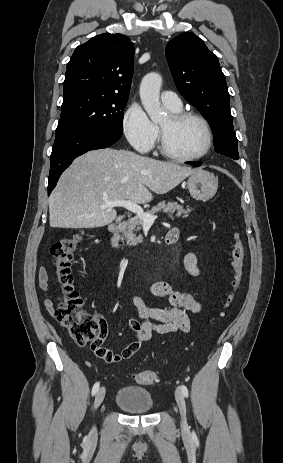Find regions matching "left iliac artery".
Here are the masks:
<instances>
[{"instance_id": "left-iliac-artery-1", "label": "left iliac artery", "mask_w": 283, "mask_h": 463, "mask_svg": "<svg viewBox=\"0 0 283 463\" xmlns=\"http://www.w3.org/2000/svg\"><path fill=\"white\" fill-rule=\"evenodd\" d=\"M180 389H181L182 393L184 394V396H185V397H188L189 392H188L187 387H186L185 385H181V386H180ZM193 436H195V433H194V432H193Z\"/></svg>"}]
</instances>
